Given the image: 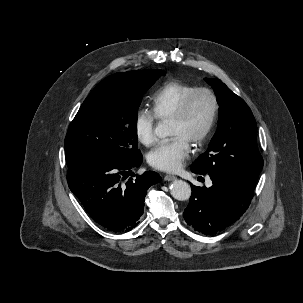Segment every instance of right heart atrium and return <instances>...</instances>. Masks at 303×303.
<instances>
[{
	"label": "right heart atrium",
	"mask_w": 303,
	"mask_h": 303,
	"mask_svg": "<svg viewBox=\"0 0 303 303\" xmlns=\"http://www.w3.org/2000/svg\"><path fill=\"white\" fill-rule=\"evenodd\" d=\"M134 131L137 139L145 146L155 141V117L153 114L139 111L134 118Z\"/></svg>",
	"instance_id": "d8ad5b80"
}]
</instances>
